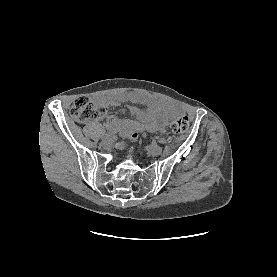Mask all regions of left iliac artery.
I'll use <instances>...</instances> for the list:
<instances>
[{"instance_id": "obj_1", "label": "left iliac artery", "mask_w": 277, "mask_h": 277, "mask_svg": "<svg viewBox=\"0 0 277 277\" xmlns=\"http://www.w3.org/2000/svg\"><path fill=\"white\" fill-rule=\"evenodd\" d=\"M157 140L161 144H165L166 143V140L164 138H162V137H157Z\"/></svg>"}]
</instances>
